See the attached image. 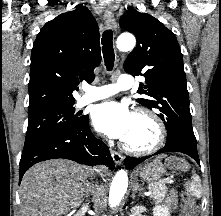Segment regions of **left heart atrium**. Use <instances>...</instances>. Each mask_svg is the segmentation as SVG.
<instances>
[{"label":"left heart atrium","instance_id":"39dd6f15","mask_svg":"<svg viewBox=\"0 0 221 216\" xmlns=\"http://www.w3.org/2000/svg\"><path fill=\"white\" fill-rule=\"evenodd\" d=\"M134 114L127 105L108 101L97 105L92 113V121L97 129L111 138L125 139Z\"/></svg>","mask_w":221,"mask_h":216}]
</instances>
